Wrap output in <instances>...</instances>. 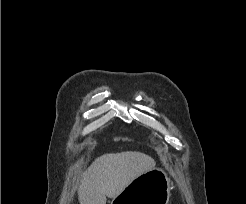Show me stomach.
<instances>
[{"label": "stomach", "instance_id": "stomach-1", "mask_svg": "<svg viewBox=\"0 0 246 204\" xmlns=\"http://www.w3.org/2000/svg\"><path fill=\"white\" fill-rule=\"evenodd\" d=\"M170 191L168 175L153 168L133 179L111 204H168Z\"/></svg>", "mask_w": 246, "mask_h": 204}]
</instances>
